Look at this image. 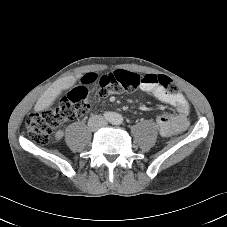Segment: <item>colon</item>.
I'll return each mask as SVG.
<instances>
[{
    "mask_svg": "<svg viewBox=\"0 0 227 227\" xmlns=\"http://www.w3.org/2000/svg\"><path fill=\"white\" fill-rule=\"evenodd\" d=\"M93 75L96 77V82L90 87H85L81 80V85L63 97L57 106L31 113L27 117V131L36 143L41 145L47 144L52 133L60 125L75 120L87 112L92 101L90 88L96 91L98 97L135 91L142 84L160 85L172 94L177 93L179 90L177 84L164 75L149 74L141 76L126 70H116L103 75Z\"/></svg>",
    "mask_w": 227,
    "mask_h": 227,
    "instance_id": "5ec220e1",
    "label": "colon"
}]
</instances>
